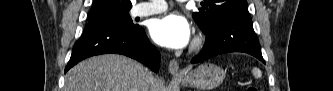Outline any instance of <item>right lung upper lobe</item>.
I'll use <instances>...</instances> for the list:
<instances>
[{"instance_id":"obj_1","label":"right lung upper lobe","mask_w":333,"mask_h":91,"mask_svg":"<svg viewBox=\"0 0 333 91\" xmlns=\"http://www.w3.org/2000/svg\"><path fill=\"white\" fill-rule=\"evenodd\" d=\"M130 0H94L89 19L112 16L129 11Z\"/></svg>"}]
</instances>
